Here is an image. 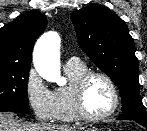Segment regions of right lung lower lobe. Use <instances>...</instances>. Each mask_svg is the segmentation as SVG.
Returning <instances> with one entry per match:
<instances>
[{
    "instance_id": "right-lung-lower-lobe-1",
    "label": "right lung lower lobe",
    "mask_w": 147,
    "mask_h": 131,
    "mask_svg": "<svg viewBox=\"0 0 147 131\" xmlns=\"http://www.w3.org/2000/svg\"><path fill=\"white\" fill-rule=\"evenodd\" d=\"M5 111H13L12 109L8 108H0V112H5Z\"/></svg>"
}]
</instances>
